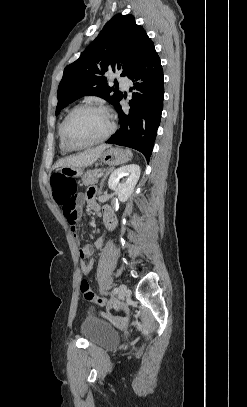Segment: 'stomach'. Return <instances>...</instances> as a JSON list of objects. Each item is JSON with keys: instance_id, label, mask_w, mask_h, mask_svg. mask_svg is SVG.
Wrapping results in <instances>:
<instances>
[{"instance_id": "0dacf381", "label": "stomach", "mask_w": 247, "mask_h": 407, "mask_svg": "<svg viewBox=\"0 0 247 407\" xmlns=\"http://www.w3.org/2000/svg\"><path fill=\"white\" fill-rule=\"evenodd\" d=\"M130 155L126 150L120 149V148H113V147H108L105 149L101 155L100 159L101 162L109 165V166H115V165H120L129 160ZM83 170L82 168H78L77 166H62L61 167V174L62 175H67V176H80L82 175Z\"/></svg>"}]
</instances>
